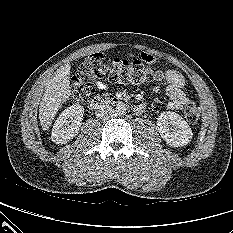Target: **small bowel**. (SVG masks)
I'll list each match as a JSON object with an SVG mask.
<instances>
[{"mask_svg": "<svg viewBox=\"0 0 233 233\" xmlns=\"http://www.w3.org/2000/svg\"><path fill=\"white\" fill-rule=\"evenodd\" d=\"M141 58L147 63L155 62V59L151 55L143 54ZM165 79L167 82L166 95L170 101L168 108L172 110H180L188 104L189 99L184 92L185 80L181 73L175 70H167L165 73ZM96 87L104 91L106 85L100 81L95 82ZM143 109V107H141Z\"/></svg>", "mask_w": 233, "mask_h": 233, "instance_id": "small-bowel-1", "label": "small bowel"}]
</instances>
